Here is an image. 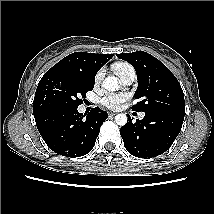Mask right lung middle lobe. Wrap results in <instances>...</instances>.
I'll use <instances>...</instances> for the list:
<instances>
[{"instance_id": "obj_1", "label": "right lung middle lobe", "mask_w": 214, "mask_h": 214, "mask_svg": "<svg viewBox=\"0 0 214 214\" xmlns=\"http://www.w3.org/2000/svg\"><path fill=\"white\" fill-rule=\"evenodd\" d=\"M95 79L64 71H47L40 80L33 101V114L61 107L75 108L82 104L94 87Z\"/></svg>"}]
</instances>
